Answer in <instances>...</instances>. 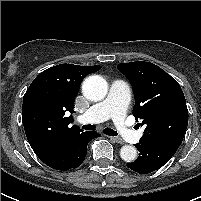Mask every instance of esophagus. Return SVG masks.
<instances>
[{"mask_svg":"<svg viewBox=\"0 0 201 201\" xmlns=\"http://www.w3.org/2000/svg\"><path fill=\"white\" fill-rule=\"evenodd\" d=\"M110 139L114 142H117V143H123V140L119 137H110Z\"/></svg>","mask_w":201,"mask_h":201,"instance_id":"obj_1","label":"esophagus"}]
</instances>
